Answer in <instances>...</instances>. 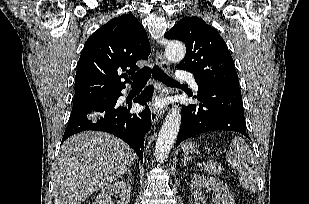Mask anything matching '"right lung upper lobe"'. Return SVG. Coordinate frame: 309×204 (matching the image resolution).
Instances as JSON below:
<instances>
[{"label": "right lung upper lobe", "instance_id": "1", "mask_svg": "<svg viewBox=\"0 0 309 204\" xmlns=\"http://www.w3.org/2000/svg\"><path fill=\"white\" fill-rule=\"evenodd\" d=\"M150 54L145 29L132 14L110 20L94 32L84 45L75 76L74 105L100 99L125 88L126 74L136 62Z\"/></svg>", "mask_w": 309, "mask_h": 204}]
</instances>
